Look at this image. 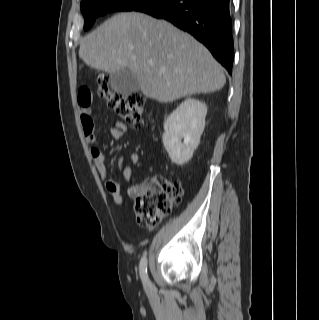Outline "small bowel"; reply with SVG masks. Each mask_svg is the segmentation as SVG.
Masks as SVG:
<instances>
[{
	"label": "small bowel",
	"instance_id": "c3829d8e",
	"mask_svg": "<svg viewBox=\"0 0 319 320\" xmlns=\"http://www.w3.org/2000/svg\"><path fill=\"white\" fill-rule=\"evenodd\" d=\"M78 105L80 106L79 120L85 133V138L88 143L95 142V128L96 124L92 116V94L89 88L82 87L78 92ZM128 132L127 126L121 121H115L114 126L111 129V137L113 139H121ZM90 156L93 164L100 176L102 177L105 187L111 194L116 204H123L124 197L121 193L123 185L111 177L107 165L105 163V153L100 147H91ZM140 156L136 152H132L128 155L127 161L122 153L115 155V166L124 180L127 182L126 191L129 197H136L139 192V185H133L130 183L133 176L132 165L138 163Z\"/></svg>",
	"mask_w": 319,
	"mask_h": 320
}]
</instances>
